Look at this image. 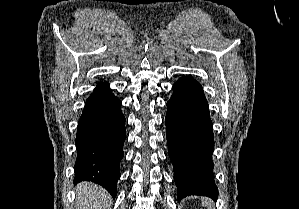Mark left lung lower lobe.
<instances>
[{"label":"left lung lower lobe","mask_w":299,"mask_h":209,"mask_svg":"<svg viewBox=\"0 0 299 209\" xmlns=\"http://www.w3.org/2000/svg\"><path fill=\"white\" fill-rule=\"evenodd\" d=\"M167 107L166 137L178 201L188 195L216 199L213 126L202 86L191 77L180 78Z\"/></svg>","instance_id":"0a47b994"}]
</instances>
